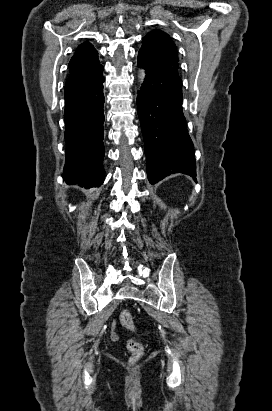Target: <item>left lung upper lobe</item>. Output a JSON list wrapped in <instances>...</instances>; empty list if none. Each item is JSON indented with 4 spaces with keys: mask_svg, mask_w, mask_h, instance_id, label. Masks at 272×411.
<instances>
[{
    "mask_svg": "<svg viewBox=\"0 0 272 411\" xmlns=\"http://www.w3.org/2000/svg\"><path fill=\"white\" fill-rule=\"evenodd\" d=\"M140 51L147 54L171 73L179 76L177 47L165 32L161 30L149 32L142 40Z\"/></svg>",
    "mask_w": 272,
    "mask_h": 411,
    "instance_id": "obj_1",
    "label": "left lung upper lobe"
}]
</instances>
